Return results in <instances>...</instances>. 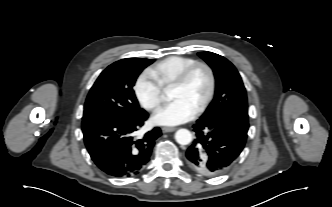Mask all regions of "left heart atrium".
<instances>
[{
  "label": "left heart atrium",
  "mask_w": 332,
  "mask_h": 207,
  "mask_svg": "<svg viewBox=\"0 0 332 207\" xmlns=\"http://www.w3.org/2000/svg\"><path fill=\"white\" fill-rule=\"evenodd\" d=\"M195 109L180 99L161 107L152 117V122L162 126H176L191 120Z\"/></svg>",
  "instance_id": "39dd6f15"
}]
</instances>
